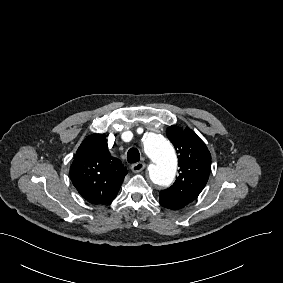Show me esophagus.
<instances>
[{
	"label": "esophagus",
	"mask_w": 283,
	"mask_h": 283,
	"mask_svg": "<svg viewBox=\"0 0 283 283\" xmlns=\"http://www.w3.org/2000/svg\"><path fill=\"white\" fill-rule=\"evenodd\" d=\"M146 167L144 162H138L131 165V170L135 173L141 172Z\"/></svg>",
	"instance_id": "esophagus-1"
}]
</instances>
